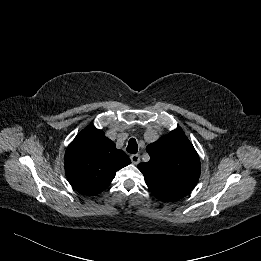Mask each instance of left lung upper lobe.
<instances>
[{
	"mask_svg": "<svg viewBox=\"0 0 261 261\" xmlns=\"http://www.w3.org/2000/svg\"><path fill=\"white\" fill-rule=\"evenodd\" d=\"M146 150L150 160L138 164V169L156 198L181 199L194 189L200 176V159L182 131H171Z\"/></svg>",
	"mask_w": 261,
	"mask_h": 261,
	"instance_id": "obj_1",
	"label": "left lung upper lobe"
}]
</instances>
